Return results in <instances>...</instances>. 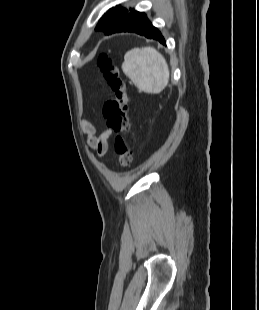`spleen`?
<instances>
[{"mask_svg":"<svg viewBox=\"0 0 259 310\" xmlns=\"http://www.w3.org/2000/svg\"><path fill=\"white\" fill-rule=\"evenodd\" d=\"M122 70L140 91L149 94L160 93L169 81L168 64L153 47L129 50L124 55Z\"/></svg>","mask_w":259,"mask_h":310,"instance_id":"obj_1","label":"spleen"}]
</instances>
